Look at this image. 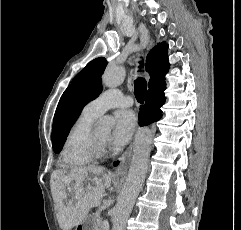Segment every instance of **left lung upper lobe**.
<instances>
[{
    "instance_id": "5c2ea615",
    "label": "left lung upper lobe",
    "mask_w": 241,
    "mask_h": 230,
    "mask_svg": "<svg viewBox=\"0 0 241 230\" xmlns=\"http://www.w3.org/2000/svg\"><path fill=\"white\" fill-rule=\"evenodd\" d=\"M106 66L107 61L103 57L89 62L61 96L52 127V147L55 153L63 148L69 131L84 106L101 93V75Z\"/></svg>"
}]
</instances>
